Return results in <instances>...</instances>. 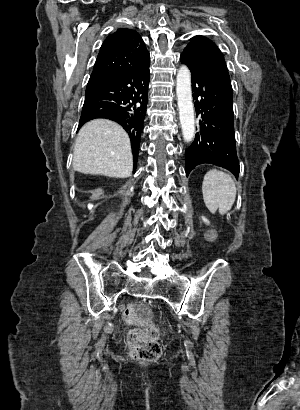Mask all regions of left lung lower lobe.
Returning <instances> with one entry per match:
<instances>
[{"label":"left lung lower lobe","instance_id":"1","mask_svg":"<svg viewBox=\"0 0 300 410\" xmlns=\"http://www.w3.org/2000/svg\"><path fill=\"white\" fill-rule=\"evenodd\" d=\"M180 60L191 72L194 106L200 117L198 132L185 152L186 175L197 165L210 163L228 169L237 176L239 161L231 82L220 74L197 67L184 54H181Z\"/></svg>","mask_w":300,"mask_h":410}]
</instances>
